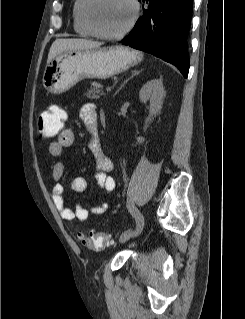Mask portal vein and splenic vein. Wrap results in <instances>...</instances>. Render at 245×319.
Segmentation results:
<instances>
[{
  "instance_id": "portal-vein-and-splenic-vein-1",
  "label": "portal vein and splenic vein",
  "mask_w": 245,
  "mask_h": 319,
  "mask_svg": "<svg viewBox=\"0 0 245 319\" xmlns=\"http://www.w3.org/2000/svg\"><path fill=\"white\" fill-rule=\"evenodd\" d=\"M112 91V87H106V92L110 93Z\"/></svg>"
}]
</instances>
